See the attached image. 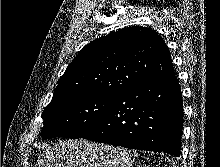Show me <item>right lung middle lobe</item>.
Wrapping results in <instances>:
<instances>
[{
	"label": "right lung middle lobe",
	"mask_w": 220,
	"mask_h": 167,
	"mask_svg": "<svg viewBox=\"0 0 220 167\" xmlns=\"http://www.w3.org/2000/svg\"><path fill=\"white\" fill-rule=\"evenodd\" d=\"M114 98L112 94L85 93L52 100L42 114V138H80L102 118Z\"/></svg>",
	"instance_id": "1"
}]
</instances>
